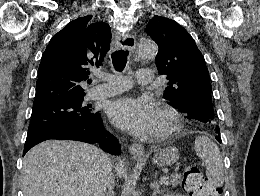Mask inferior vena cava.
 I'll return each instance as SVG.
<instances>
[{
	"instance_id": "inferior-vena-cava-1",
	"label": "inferior vena cava",
	"mask_w": 260,
	"mask_h": 196,
	"mask_svg": "<svg viewBox=\"0 0 260 196\" xmlns=\"http://www.w3.org/2000/svg\"><path fill=\"white\" fill-rule=\"evenodd\" d=\"M104 162H106V164L108 166V172H109L105 186H107L109 192H113L114 180H113V176H111V174H110V172L112 170V168H111L112 164L110 162L109 156H106V158H104ZM95 196H105V194H103L101 188H99V190H97Z\"/></svg>"
}]
</instances>
